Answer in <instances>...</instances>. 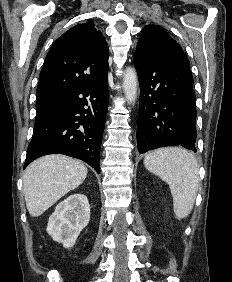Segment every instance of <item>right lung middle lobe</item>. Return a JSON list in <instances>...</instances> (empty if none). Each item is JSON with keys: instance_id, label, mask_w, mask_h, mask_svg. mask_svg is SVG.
Segmentation results:
<instances>
[{"instance_id": "right-lung-middle-lobe-1", "label": "right lung middle lobe", "mask_w": 232, "mask_h": 282, "mask_svg": "<svg viewBox=\"0 0 232 282\" xmlns=\"http://www.w3.org/2000/svg\"><path fill=\"white\" fill-rule=\"evenodd\" d=\"M64 97L53 92L38 93L36 103V119H40L52 111Z\"/></svg>"}]
</instances>
